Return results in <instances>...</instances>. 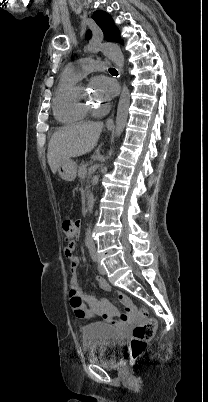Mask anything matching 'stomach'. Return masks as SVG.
<instances>
[{
  "instance_id": "0dacf381",
  "label": "stomach",
  "mask_w": 208,
  "mask_h": 402,
  "mask_svg": "<svg viewBox=\"0 0 208 402\" xmlns=\"http://www.w3.org/2000/svg\"><path fill=\"white\" fill-rule=\"evenodd\" d=\"M110 130V128H108ZM57 172L62 178V180H65V182H73L76 178L77 174V164L74 162V160H65V162H62L60 164L59 168H57Z\"/></svg>"
}]
</instances>
